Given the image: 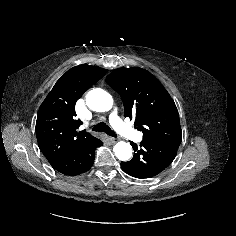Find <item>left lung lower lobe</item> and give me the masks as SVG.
<instances>
[{
  "mask_svg": "<svg viewBox=\"0 0 236 236\" xmlns=\"http://www.w3.org/2000/svg\"><path fill=\"white\" fill-rule=\"evenodd\" d=\"M180 143V139L142 140L138 147L131 142L135 150L134 156L129 162H121V167L132 177L139 179L152 178L173 162Z\"/></svg>",
  "mask_w": 236,
  "mask_h": 236,
  "instance_id": "obj_1",
  "label": "left lung lower lobe"
}]
</instances>
